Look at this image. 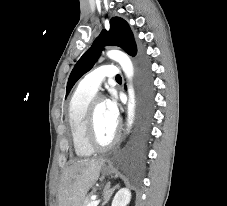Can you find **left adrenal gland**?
I'll return each mask as SVG.
<instances>
[{
	"instance_id": "left-adrenal-gland-1",
	"label": "left adrenal gland",
	"mask_w": 227,
	"mask_h": 206,
	"mask_svg": "<svg viewBox=\"0 0 227 206\" xmlns=\"http://www.w3.org/2000/svg\"><path fill=\"white\" fill-rule=\"evenodd\" d=\"M119 184H117V185H115L114 187H110V183H108L107 185H106V188H105V191H104V201H103V203H102V206H104L108 201H109V199H110V197H111V195L113 194V192L117 189V188H119Z\"/></svg>"
}]
</instances>
